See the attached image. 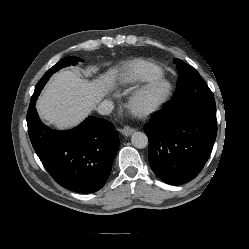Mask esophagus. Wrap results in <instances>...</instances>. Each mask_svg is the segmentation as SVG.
<instances>
[{
	"label": "esophagus",
	"instance_id": "obj_1",
	"mask_svg": "<svg viewBox=\"0 0 249 249\" xmlns=\"http://www.w3.org/2000/svg\"><path fill=\"white\" fill-rule=\"evenodd\" d=\"M120 131L124 136H130L135 129L129 126H124Z\"/></svg>",
	"mask_w": 249,
	"mask_h": 249
}]
</instances>
